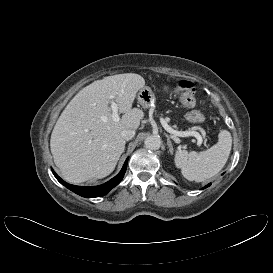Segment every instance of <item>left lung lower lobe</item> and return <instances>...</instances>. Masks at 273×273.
Masks as SVG:
<instances>
[{
    "instance_id": "0a47b994",
    "label": "left lung lower lobe",
    "mask_w": 273,
    "mask_h": 273,
    "mask_svg": "<svg viewBox=\"0 0 273 273\" xmlns=\"http://www.w3.org/2000/svg\"><path fill=\"white\" fill-rule=\"evenodd\" d=\"M211 185V183H209L207 186H205L204 188H207L208 186H210Z\"/></svg>"
}]
</instances>
